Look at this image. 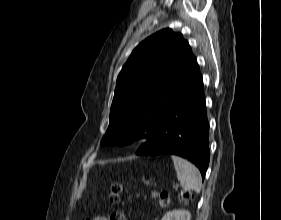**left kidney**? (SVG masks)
Masks as SVG:
<instances>
[{
	"label": "left kidney",
	"instance_id": "obj_1",
	"mask_svg": "<svg viewBox=\"0 0 281 220\" xmlns=\"http://www.w3.org/2000/svg\"><path fill=\"white\" fill-rule=\"evenodd\" d=\"M191 213L186 210H172L167 212L161 220H190Z\"/></svg>",
	"mask_w": 281,
	"mask_h": 220
}]
</instances>
